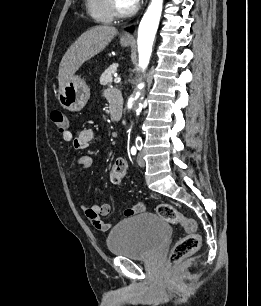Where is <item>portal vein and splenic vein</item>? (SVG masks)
Masks as SVG:
<instances>
[{
	"label": "portal vein and splenic vein",
	"mask_w": 261,
	"mask_h": 306,
	"mask_svg": "<svg viewBox=\"0 0 261 306\" xmlns=\"http://www.w3.org/2000/svg\"><path fill=\"white\" fill-rule=\"evenodd\" d=\"M121 82V78L120 77H116L115 79H114V83H120Z\"/></svg>",
	"instance_id": "portal-vein-and-splenic-vein-1"
}]
</instances>
